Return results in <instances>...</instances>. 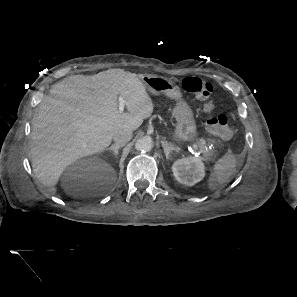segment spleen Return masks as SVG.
Segmentation results:
<instances>
[{
  "instance_id": "1",
  "label": "spleen",
  "mask_w": 297,
  "mask_h": 297,
  "mask_svg": "<svg viewBox=\"0 0 297 297\" xmlns=\"http://www.w3.org/2000/svg\"><path fill=\"white\" fill-rule=\"evenodd\" d=\"M236 157L232 154H225L214 165L208 179V187L210 190H215L218 186L229 181V178L236 168Z\"/></svg>"
}]
</instances>
